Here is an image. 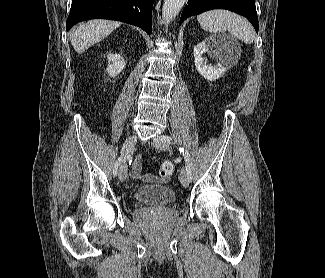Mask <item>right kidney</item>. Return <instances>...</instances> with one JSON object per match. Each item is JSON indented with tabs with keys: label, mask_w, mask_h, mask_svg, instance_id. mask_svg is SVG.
I'll use <instances>...</instances> for the list:
<instances>
[{
	"label": "right kidney",
	"mask_w": 325,
	"mask_h": 278,
	"mask_svg": "<svg viewBox=\"0 0 325 278\" xmlns=\"http://www.w3.org/2000/svg\"><path fill=\"white\" fill-rule=\"evenodd\" d=\"M108 68L107 72L111 77H115L125 68V60L118 54H108Z\"/></svg>",
	"instance_id": "ca27d5eb"
}]
</instances>
